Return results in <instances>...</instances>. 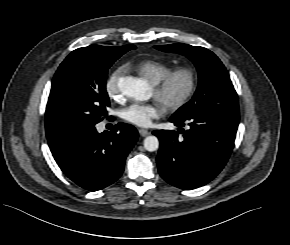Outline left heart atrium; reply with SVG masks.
Listing matches in <instances>:
<instances>
[{"label": "left heart atrium", "mask_w": 290, "mask_h": 245, "mask_svg": "<svg viewBox=\"0 0 290 245\" xmlns=\"http://www.w3.org/2000/svg\"><path fill=\"white\" fill-rule=\"evenodd\" d=\"M163 113L164 107L159 101L134 103L123 110L122 118L135 125L148 127L154 119L160 118Z\"/></svg>", "instance_id": "left-heart-atrium-1"}]
</instances>
